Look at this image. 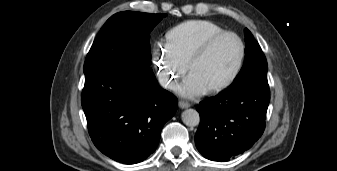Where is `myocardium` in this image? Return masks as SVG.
Wrapping results in <instances>:
<instances>
[{"instance_id": "myocardium-1", "label": "myocardium", "mask_w": 337, "mask_h": 171, "mask_svg": "<svg viewBox=\"0 0 337 171\" xmlns=\"http://www.w3.org/2000/svg\"><path fill=\"white\" fill-rule=\"evenodd\" d=\"M225 37H233L239 44V48H240V54H239V58L238 61L234 67V69L232 70L231 74L221 83H218L214 86H211L208 88V91L210 92H218V91H222L226 88H228L229 86H231L238 78V76L240 75L243 65H244V61H245V57H246V46L245 43L243 41V39L235 32L232 31H223L219 34H216L210 38H208L207 40H205L204 42H202L197 49L195 50V52L193 53V55L191 56L189 62H188V70L191 72L193 65L199 60L201 59L209 50L210 48L219 40H221L222 38Z\"/></svg>"}]
</instances>
